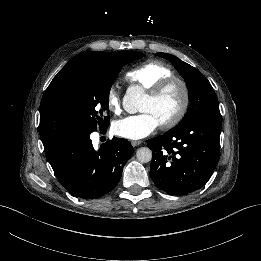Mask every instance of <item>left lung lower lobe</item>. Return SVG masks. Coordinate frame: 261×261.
<instances>
[{"instance_id":"left-lung-lower-lobe-1","label":"left lung lower lobe","mask_w":261,"mask_h":261,"mask_svg":"<svg viewBox=\"0 0 261 261\" xmlns=\"http://www.w3.org/2000/svg\"><path fill=\"white\" fill-rule=\"evenodd\" d=\"M221 119L201 117L179 130L149 139L153 159L150 176L171 195H185L203 187L219 161Z\"/></svg>"}]
</instances>
